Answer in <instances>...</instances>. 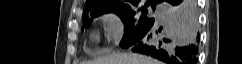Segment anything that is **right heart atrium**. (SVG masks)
Returning <instances> with one entry per match:
<instances>
[{
	"instance_id": "right-heart-atrium-1",
	"label": "right heart atrium",
	"mask_w": 242,
	"mask_h": 64,
	"mask_svg": "<svg viewBox=\"0 0 242 64\" xmlns=\"http://www.w3.org/2000/svg\"><path fill=\"white\" fill-rule=\"evenodd\" d=\"M102 24L106 40L109 43H117L121 40L125 30L122 17L116 12H107L102 17Z\"/></svg>"
}]
</instances>
